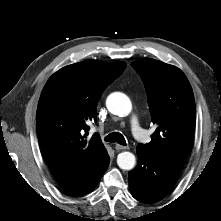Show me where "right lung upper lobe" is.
I'll list each match as a JSON object with an SVG mask.
<instances>
[{"label": "right lung upper lobe", "mask_w": 221, "mask_h": 221, "mask_svg": "<svg viewBox=\"0 0 221 221\" xmlns=\"http://www.w3.org/2000/svg\"><path fill=\"white\" fill-rule=\"evenodd\" d=\"M125 67V62L83 61L60 69L44 86L37 108V135L63 189L85 182L109 160L99 134L88 140L85 132L87 123L96 120L102 92Z\"/></svg>", "instance_id": "cb5924a9"}]
</instances>
